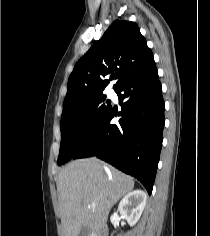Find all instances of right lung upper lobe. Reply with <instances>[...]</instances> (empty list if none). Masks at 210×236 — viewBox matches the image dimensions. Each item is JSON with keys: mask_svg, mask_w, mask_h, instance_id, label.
Listing matches in <instances>:
<instances>
[{"mask_svg": "<svg viewBox=\"0 0 210 236\" xmlns=\"http://www.w3.org/2000/svg\"><path fill=\"white\" fill-rule=\"evenodd\" d=\"M154 63L152 51L138 26L134 22L116 20L76 63L68 80L62 114L104 95L107 74L115 71L116 90L125 80Z\"/></svg>", "mask_w": 210, "mask_h": 236, "instance_id": "right-lung-upper-lobe-1", "label": "right lung upper lobe"}]
</instances>
